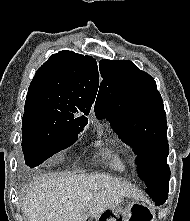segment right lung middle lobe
Instances as JSON below:
<instances>
[{
    "instance_id": "obj_1",
    "label": "right lung middle lobe",
    "mask_w": 190,
    "mask_h": 221,
    "mask_svg": "<svg viewBox=\"0 0 190 221\" xmlns=\"http://www.w3.org/2000/svg\"><path fill=\"white\" fill-rule=\"evenodd\" d=\"M88 120L59 113H24L22 150L30 168L73 145Z\"/></svg>"
}]
</instances>
